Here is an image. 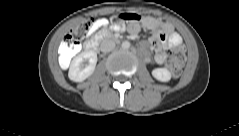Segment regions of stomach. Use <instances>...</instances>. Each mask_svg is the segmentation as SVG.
Listing matches in <instances>:
<instances>
[{"label": "stomach", "mask_w": 239, "mask_h": 136, "mask_svg": "<svg viewBox=\"0 0 239 136\" xmlns=\"http://www.w3.org/2000/svg\"><path fill=\"white\" fill-rule=\"evenodd\" d=\"M143 20L141 13H131L130 11H123L116 14V21L118 23H140Z\"/></svg>", "instance_id": "1"}]
</instances>
